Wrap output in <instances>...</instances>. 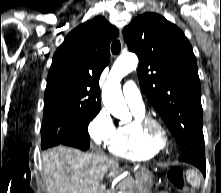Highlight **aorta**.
<instances>
[{
    "label": "aorta",
    "instance_id": "obj_1",
    "mask_svg": "<svg viewBox=\"0 0 221 193\" xmlns=\"http://www.w3.org/2000/svg\"><path fill=\"white\" fill-rule=\"evenodd\" d=\"M138 58L135 54L121 55L113 64L102 89L105 108L120 120H129L131 115L121 90V80L136 69Z\"/></svg>",
    "mask_w": 221,
    "mask_h": 193
}]
</instances>
